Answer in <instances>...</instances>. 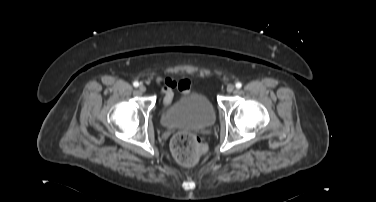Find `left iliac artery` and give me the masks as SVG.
Segmentation results:
<instances>
[{
  "label": "left iliac artery",
  "instance_id": "44dca946",
  "mask_svg": "<svg viewBox=\"0 0 376 202\" xmlns=\"http://www.w3.org/2000/svg\"><path fill=\"white\" fill-rule=\"evenodd\" d=\"M242 87V84L240 82L236 83V88L240 89Z\"/></svg>",
  "mask_w": 376,
  "mask_h": 202
}]
</instances>
